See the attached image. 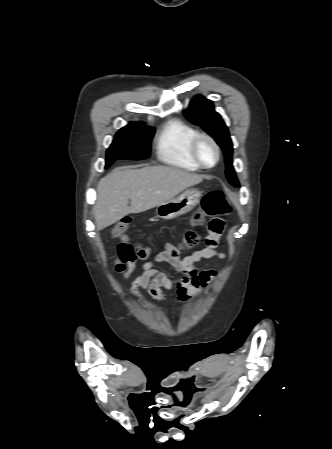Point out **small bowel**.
<instances>
[{
  "label": "small bowel",
  "instance_id": "1",
  "mask_svg": "<svg viewBox=\"0 0 332 449\" xmlns=\"http://www.w3.org/2000/svg\"><path fill=\"white\" fill-rule=\"evenodd\" d=\"M225 223L222 219L210 221L208 234L204 239V247L190 255H184L182 249L171 243L165 245V249L152 259H148L151 249L144 247L136 251L137 258L144 260L142 273L137 275L131 283L130 292L135 297L142 299V291H146L153 299L165 300L164 290L176 292L178 299L183 302L199 296L216 279L217 271L213 269H198L196 263L208 259H226L224 252L218 251L220 237L223 233ZM158 263H167L176 271L183 274V277L174 283L168 275L155 268ZM116 271L124 279H129L133 275L135 263L116 265Z\"/></svg>",
  "mask_w": 332,
  "mask_h": 449
}]
</instances>
